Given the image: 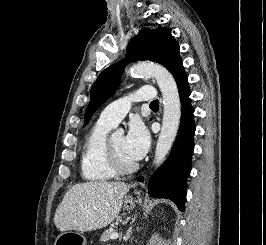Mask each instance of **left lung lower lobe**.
Wrapping results in <instances>:
<instances>
[{
	"label": "left lung lower lobe",
	"instance_id": "0a47b994",
	"mask_svg": "<svg viewBox=\"0 0 266 245\" xmlns=\"http://www.w3.org/2000/svg\"><path fill=\"white\" fill-rule=\"evenodd\" d=\"M181 101V123L177 139L165 164L159 168L149 181V193L154 198H168L183 211L186 199V181L191 171V157L194 151L193 136L194 109L191 106L188 77L182 60L172 68ZM140 182L143 178L139 179Z\"/></svg>",
	"mask_w": 266,
	"mask_h": 245
}]
</instances>
